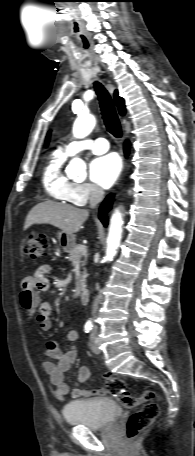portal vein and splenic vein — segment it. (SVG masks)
<instances>
[{
    "label": "portal vein and splenic vein",
    "instance_id": "1",
    "mask_svg": "<svg viewBox=\"0 0 195 456\" xmlns=\"http://www.w3.org/2000/svg\"><path fill=\"white\" fill-rule=\"evenodd\" d=\"M79 250H80L81 252H87V246L81 245V246L79 247Z\"/></svg>",
    "mask_w": 195,
    "mask_h": 456
}]
</instances>
